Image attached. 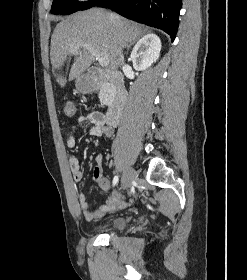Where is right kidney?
Returning <instances> with one entry per match:
<instances>
[{
	"label": "right kidney",
	"mask_w": 247,
	"mask_h": 280,
	"mask_svg": "<svg viewBox=\"0 0 247 280\" xmlns=\"http://www.w3.org/2000/svg\"><path fill=\"white\" fill-rule=\"evenodd\" d=\"M161 50L160 38L153 33L142 37L133 48L131 60L136 70H145L159 58Z\"/></svg>",
	"instance_id": "right-kidney-1"
}]
</instances>
